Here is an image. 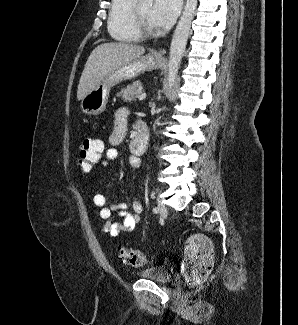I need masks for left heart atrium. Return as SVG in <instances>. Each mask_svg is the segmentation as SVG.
Wrapping results in <instances>:
<instances>
[{
    "mask_svg": "<svg viewBox=\"0 0 298 325\" xmlns=\"http://www.w3.org/2000/svg\"><path fill=\"white\" fill-rule=\"evenodd\" d=\"M179 11V0H154L151 17L155 25L160 30H164L170 28L175 23Z\"/></svg>",
    "mask_w": 298,
    "mask_h": 325,
    "instance_id": "left-heart-atrium-1",
    "label": "left heart atrium"
}]
</instances>
